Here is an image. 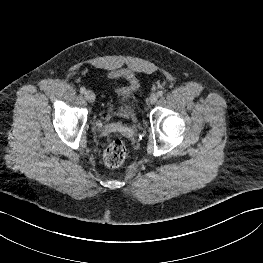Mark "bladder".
Returning <instances> with one entry per match:
<instances>
[{
    "label": "bladder",
    "instance_id": "1",
    "mask_svg": "<svg viewBox=\"0 0 263 263\" xmlns=\"http://www.w3.org/2000/svg\"><path fill=\"white\" fill-rule=\"evenodd\" d=\"M139 89L138 79L133 75H127L126 82L116 88L115 100L109 103L106 117L136 124L138 120L137 95Z\"/></svg>",
    "mask_w": 263,
    "mask_h": 263
}]
</instances>
